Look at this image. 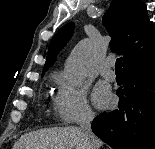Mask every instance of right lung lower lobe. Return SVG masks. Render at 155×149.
<instances>
[{
  "label": "right lung lower lobe",
  "instance_id": "98d812e1",
  "mask_svg": "<svg viewBox=\"0 0 155 149\" xmlns=\"http://www.w3.org/2000/svg\"><path fill=\"white\" fill-rule=\"evenodd\" d=\"M118 109L95 117L91 127L114 149H155V59L124 69Z\"/></svg>",
  "mask_w": 155,
  "mask_h": 149
}]
</instances>
